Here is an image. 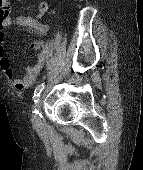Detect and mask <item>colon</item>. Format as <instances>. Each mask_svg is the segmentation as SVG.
Wrapping results in <instances>:
<instances>
[{
    "mask_svg": "<svg viewBox=\"0 0 143 170\" xmlns=\"http://www.w3.org/2000/svg\"><path fill=\"white\" fill-rule=\"evenodd\" d=\"M8 16V0H0V19Z\"/></svg>",
    "mask_w": 143,
    "mask_h": 170,
    "instance_id": "colon-1",
    "label": "colon"
}]
</instances>
